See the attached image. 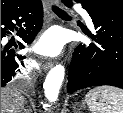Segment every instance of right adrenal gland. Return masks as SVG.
Listing matches in <instances>:
<instances>
[{"label": "right adrenal gland", "instance_id": "obj_1", "mask_svg": "<svg viewBox=\"0 0 123 113\" xmlns=\"http://www.w3.org/2000/svg\"><path fill=\"white\" fill-rule=\"evenodd\" d=\"M31 110H30V108L29 109H24V113H29Z\"/></svg>", "mask_w": 123, "mask_h": 113}]
</instances>
